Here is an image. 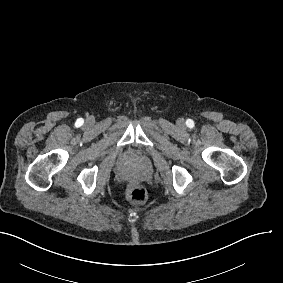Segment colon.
Here are the masks:
<instances>
[{
  "mask_svg": "<svg viewBox=\"0 0 283 283\" xmlns=\"http://www.w3.org/2000/svg\"><path fill=\"white\" fill-rule=\"evenodd\" d=\"M128 196L132 202L139 204L146 200L147 192L143 186L133 185L129 188Z\"/></svg>",
  "mask_w": 283,
  "mask_h": 283,
  "instance_id": "1",
  "label": "colon"
}]
</instances>
